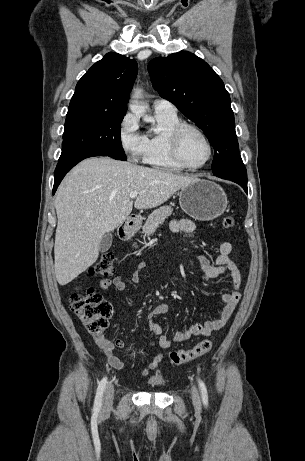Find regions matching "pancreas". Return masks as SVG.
<instances>
[{"label": "pancreas", "instance_id": "pancreas-1", "mask_svg": "<svg viewBox=\"0 0 305 461\" xmlns=\"http://www.w3.org/2000/svg\"><path fill=\"white\" fill-rule=\"evenodd\" d=\"M173 212L171 206H161L154 210L147 218L142 230L145 236H151L154 234L156 229L163 224L165 219L170 216Z\"/></svg>", "mask_w": 305, "mask_h": 461}]
</instances>
